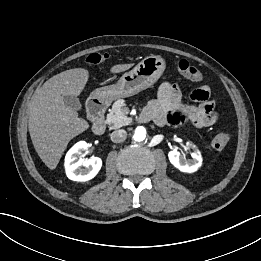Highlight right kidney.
Wrapping results in <instances>:
<instances>
[{
    "label": "right kidney",
    "mask_w": 261,
    "mask_h": 261,
    "mask_svg": "<svg viewBox=\"0 0 261 261\" xmlns=\"http://www.w3.org/2000/svg\"><path fill=\"white\" fill-rule=\"evenodd\" d=\"M89 144L85 141L76 143L66 154L65 171L70 180L85 182L94 178L102 167V160L99 157L90 159L79 158L82 151L87 150ZM84 166V168H81Z\"/></svg>",
    "instance_id": "1"
}]
</instances>
